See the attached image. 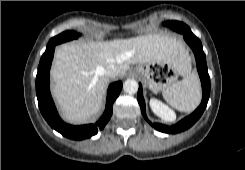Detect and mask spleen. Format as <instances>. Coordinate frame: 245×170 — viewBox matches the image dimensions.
I'll return each instance as SVG.
<instances>
[{
  "label": "spleen",
  "instance_id": "1",
  "mask_svg": "<svg viewBox=\"0 0 245 170\" xmlns=\"http://www.w3.org/2000/svg\"><path fill=\"white\" fill-rule=\"evenodd\" d=\"M163 97L173 108L193 111L201 101V87L197 74L189 73L181 81H177L163 90Z\"/></svg>",
  "mask_w": 245,
  "mask_h": 170
}]
</instances>
